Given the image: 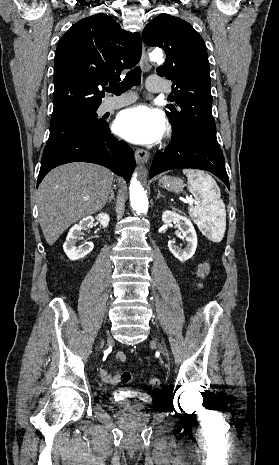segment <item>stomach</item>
I'll use <instances>...</instances> for the list:
<instances>
[{"label":"stomach","instance_id":"obj_1","mask_svg":"<svg viewBox=\"0 0 279 465\" xmlns=\"http://www.w3.org/2000/svg\"><path fill=\"white\" fill-rule=\"evenodd\" d=\"M159 185L164 188H168L170 189V191L175 193L181 192L184 188L183 180L169 176L161 178L159 181Z\"/></svg>","mask_w":279,"mask_h":465}]
</instances>
